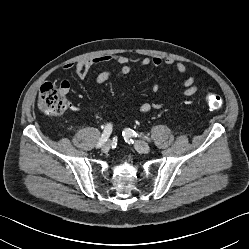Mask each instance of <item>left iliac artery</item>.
Here are the masks:
<instances>
[{"mask_svg": "<svg viewBox=\"0 0 249 249\" xmlns=\"http://www.w3.org/2000/svg\"><path fill=\"white\" fill-rule=\"evenodd\" d=\"M137 135H138V134H137L134 130H132V129H130V128H127V129H125V130L123 131V136H125V138L137 137ZM140 136H141V134H140ZM143 138H145L146 140L150 141V138L147 137V136H144V135H143Z\"/></svg>", "mask_w": 249, "mask_h": 249, "instance_id": "left-iliac-artery-1", "label": "left iliac artery"}]
</instances>
